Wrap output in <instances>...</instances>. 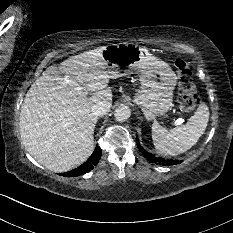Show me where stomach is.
I'll list each match as a JSON object with an SVG mask.
<instances>
[{"mask_svg":"<svg viewBox=\"0 0 233 233\" xmlns=\"http://www.w3.org/2000/svg\"><path fill=\"white\" fill-rule=\"evenodd\" d=\"M102 58L113 78L134 71L138 73L141 90L134 102L147 119H154L170 109L177 77L167 63L152 55L146 47L133 43L108 45Z\"/></svg>","mask_w":233,"mask_h":233,"instance_id":"stomach-1","label":"stomach"}]
</instances>
